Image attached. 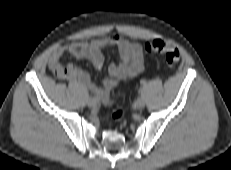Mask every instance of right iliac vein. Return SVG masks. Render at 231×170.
I'll list each match as a JSON object with an SVG mask.
<instances>
[{"label": "right iliac vein", "instance_id": "63e3f726", "mask_svg": "<svg viewBox=\"0 0 231 170\" xmlns=\"http://www.w3.org/2000/svg\"><path fill=\"white\" fill-rule=\"evenodd\" d=\"M87 104H88V106H89L90 108H96L97 105H98V102H97V100H95V99H93V98H90V99L88 100Z\"/></svg>", "mask_w": 231, "mask_h": 170}]
</instances>
